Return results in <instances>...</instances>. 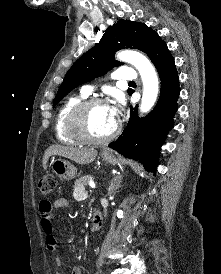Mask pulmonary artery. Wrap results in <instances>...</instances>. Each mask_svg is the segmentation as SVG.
Masks as SVG:
<instances>
[{
    "mask_svg": "<svg viewBox=\"0 0 221 274\" xmlns=\"http://www.w3.org/2000/svg\"><path fill=\"white\" fill-rule=\"evenodd\" d=\"M136 77L137 74L135 70L131 67H121L116 70L114 74V78L119 81H133L136 79ZM82 90L86 94H91L94 90V87L91 85H85Z\"/></svg>",
    "mask_w": 221,
    "mask_h": 274,
    "instance_id": "obj_1",
    "label": "pulmonary artery"
}]
</instances>
